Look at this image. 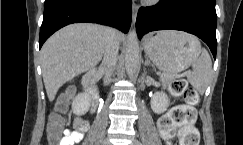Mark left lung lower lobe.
Instances as JSON below:
<instances>
[{
	"label": "left lung lower lobe",
	"instance_id": "obj_1",
	"mask_svg": "<svg viewBox=\"0 0 243 145\" xmlns=\"http://www.w3.org/2000/svg\"><path fill=\"white\" fill-rule=\"evenodd\" d=\"M217 15L215 2L205 0H160L151 7H141L136 20L139 38L149 31L175 29L198 36L216 58Z\"/></svg>",
	"mask_w": 243,
	"mask_h": 145
}]
</instances>
